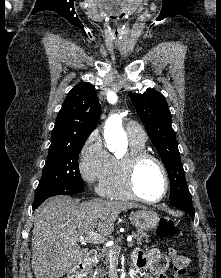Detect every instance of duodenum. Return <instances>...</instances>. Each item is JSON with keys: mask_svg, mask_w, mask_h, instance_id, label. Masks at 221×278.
Wrapping results in <instances>:
<instances>
[{"mask_svg": "<svg viewBox=\"0 0 221 278\" xmlns=\"http://www.w3.org/2000/svg\"><path fill=\"white\" fill-rule=\"evenodd\" d=\"M96 256L97 251L89 249L86 258L73 267L68 274V278H84L87 268L95 260Z\"/></svg>", "mask_w": 221, "mask_h": 278, "instance_id": "1", "label": "duodenum"}]
</instances>
